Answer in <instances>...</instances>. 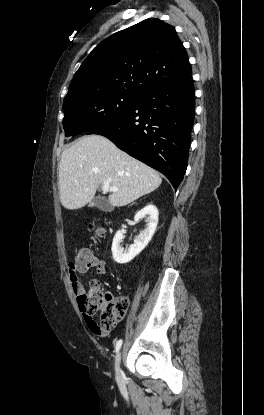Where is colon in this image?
Listing matches in <instances>:
<instances>
[{
	"label": "colon",
	"instance_id": "obj_1",
	"mask_svg": "<svg viewBox=\"0 0 264 415\" xmlns=\"http://www.w3.org/2000/svg\"><path fill=\"white\" fill-rule=\"evenodd\" d=\"M89 228L98 236L103 234V230L98 226L90 225ZM95 263L93 253L84 248L69 262V270L76 273L80 268L93 267ZM78 303L80 310L88 318L89 326L94 330L111 328L123 319L129 306L126 296H116L105 291L98 281L90 282L88 289L79 296ZM97 312H101L100 322L93 319Z\"/></svg>",
	"mask_w": 264,
	"mask_h": 415
}]
</instances>
